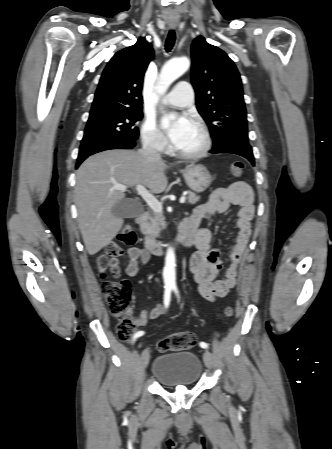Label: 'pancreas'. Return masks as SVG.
<instances>
[{"mask_svg": "<svg viewBox=\"0 0 332 449\" xmlns=\"http://www.w3.org/2000/svg\"><path fill=\"white\" fill-rule=\"evenodd\" d=\"M199 199L200 197L195 193H188V203L195 204ZM165 226L164 216L161 213L152 212L148 214V220L141 223L140 229L143 234L155 238Z\"/></svg>", "mask_w": 332, "mask_h": 449, "instance_id": "pancreas-1", "label": "pancreas"}]
</instances>
